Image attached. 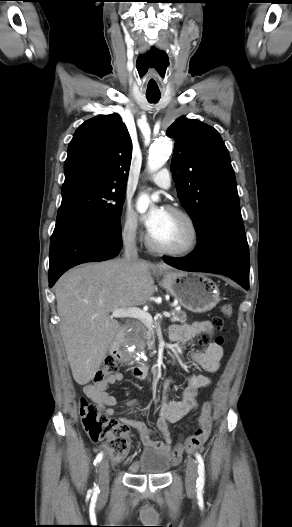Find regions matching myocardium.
<instances>
[{
  "label": "myocardium",
  "mask_w": 292,
  "mask_h": 527,
  "mask_svg": "<svg viewBox=\"0 0 292 527\" xmlns=\"http://www.w3.org/2000/svg\"><path fill=\"white\" fill-rule=\"evenodd\" d=\"M165 211L179 216L186 222L190 230V236L187 243L181 247L175 248L163 246L156 243L152 239L150 232H148L146 235L147 246L155 252L171 256H186L191 254L197 248L200 240V231L195 219L187 211L178 207L168 206L165 208Z\"/></svg>",
  "instance_id": "obj_1"
}]
</instances>
